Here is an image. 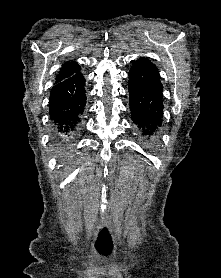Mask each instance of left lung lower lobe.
Masks as SVG:
<instances>
[{
	"label": "left lung lower lobe",
	"instance_id": "left-lung-lower-lobe-1",
	"mask_svg": "<svg viewBox=\"0 0 221 278\" xmlns=\"http://www.w3.org/2000/svg\"><path fill=\"white\" fill-rule=\"evenodd\" d=\"M131 117L140 133L153 137L163 121V89L156 66L139 58L129 72Z\"/></svg>",
	"mask_w": 221,
	"mask_h": 278
}]
</instances>
